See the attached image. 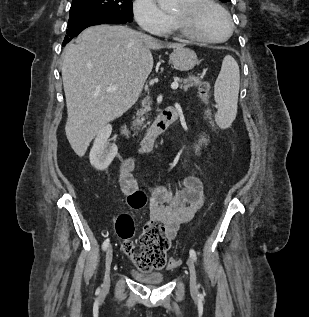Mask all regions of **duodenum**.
Instances as JSON below:
<instances>
[{
	"label": "duodenum",
	"instance_id": "obj_1",
	"mask_svg": "<svg viewBox=\"0 0 309 317\" xmlns=\"http://www.w3.org/2000/svg\"><path fill=\"white\" fill-rule=\"evenodd\" d=\"M177 119V111L170 106L165 108L157 117L141 144V151L149 152L152 150L158 136L164 132ZM123 134L128 136L129 131L126 128L122 130Z\"/></svg>",
	"mask_w": 309,
	"mask_h": 317
}]
</instances>
